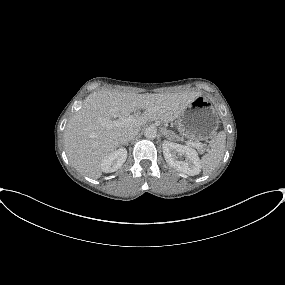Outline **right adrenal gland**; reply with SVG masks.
Instances as JSON below:
<instances>
[{
    "label": "right adrenal gland",
    "instance_id": "1",
    "mask_svg": "<svg viewBox=\"0 0 285 285\" xmlns=\"http://www.w3.org/2000/svg\"><path fill=\"white\" fill-rule=\"evenodd\" d=\"M123 145H124V146H128L129 144H128V143H126V144H122V143H121V144H120V146H123Z\"/></svg>",
    "mask_w": 285,
    "mask_h": 285
}]
</instances>
